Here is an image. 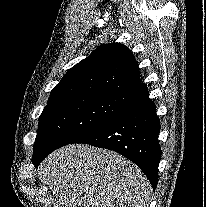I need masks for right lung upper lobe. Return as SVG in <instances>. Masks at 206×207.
I'll use <instances>...</instances> for the list:
<instances>
[{"label": "right lung upper lobe", "instance_id": "1", "mask_svg": "<svg viewBox=\"0 0 206 207\" xmlns=\"http://www.w3.org/2000/svg\"><path fill=\"white\" fill-rule=\"evenodd\" d=\"M141 83L138 62L121 43L102 45L72 67L48 102L86 96L127 95Z\"/></svg>", "mask_w": 206, "mask_h": 207}]
</instances>
